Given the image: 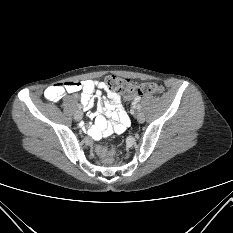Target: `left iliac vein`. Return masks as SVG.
I'll return each mask as SVG.
<instances>
[{
	"mask_svg": "<svg viewBox=\"0 0 233 233\" xmlns=\"http://www.w3.org/2000/svg\"><path fill=\"white\" fill-rule=\"evenodd\" d=\"M136 118H137V120H138L139 123H143V122L145 121V115H144L143 112H140V111H139V112L136 114Z\"/></svg>",
	"mask_w": 233,
	"mask_h": 233,
	"instance_id": "1",
	"label": "left iliac vein"
}]
</instances>
